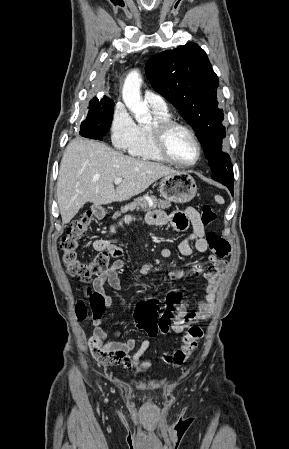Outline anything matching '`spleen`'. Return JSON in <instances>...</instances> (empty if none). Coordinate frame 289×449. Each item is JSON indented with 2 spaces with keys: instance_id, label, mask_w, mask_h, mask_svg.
<instances>
[{
  "instance_id": "3e777b00",
  "label": "spleen",
  "mask_w": 289,
  "mask_h": 449,
  "mask_svg": "<svg viewBox=\"0 0 289 449\" xmlns=\"http://www.w3.org/2000/svg\"><path fill=\"white\" fill-rule=\"evenodd\" d=\"M216 201H217L219 204H224V199H223L222 197H217V198H216Z\"/></svg>"
}]
</instances>
